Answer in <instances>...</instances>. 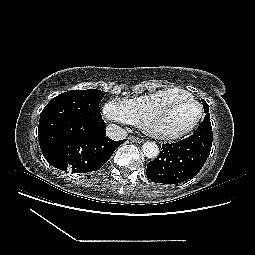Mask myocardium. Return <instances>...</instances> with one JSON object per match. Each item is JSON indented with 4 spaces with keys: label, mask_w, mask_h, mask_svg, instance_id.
I'll use <instances>...</instances> for the list:
<instances>
[{
    "label": "myocardium",
    "mask_w": 255,
    "mask_h": 255,
    "mask_svg": "<svg viewBox=\"0 0 255 255\" xmlns=\"http://www.w3.org/2000/svg\"><path fill=\"white\" fill-rule=\"evenodd\" d=\"M179 98L185 99L197 106L198 112H197L195 119L185 129L178 131V132H165V131L156 130L153 127L154 120L161 114V112L169 104H171L173 101H175L176 99H179ZM202 114H203V108H202L201 103L198 100H196L189 92L182 90V91L178 92L177 95H174V96L168 98L167 100H165L155 110L151 111L148 114V116L145 118V120L142 124V127H143V130L145 131V133H147L148 135H150L152 137L159 138V139H166V140L178 139V138H181V137L189 134L198 125V123L200 122V120L202 118Z\"/></svg>",
    "instance_id": "f54148a6"
}]
</instances>
